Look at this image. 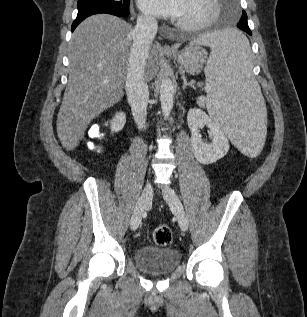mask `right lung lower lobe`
Instances as JSON below:
<instances>
[{
	"label": "right lung lower lobe",
	"mask_w": 307,
	"mask_h": 317,
	"mask_svg": "<svg viewBox=\"0 0 307 317\" xmlns=\"http://www.w3.org/2000/svg\"><path fill=\"white\" fill-rule=\"evenodd\" d=\"M95 14H111L118 17L129 15V6L123 9H112L104 6H89L78 10L77 18L72 24V31L87 17Z\"/></svg>",
	"instance_id": "obj_1"
}]
</instances>
